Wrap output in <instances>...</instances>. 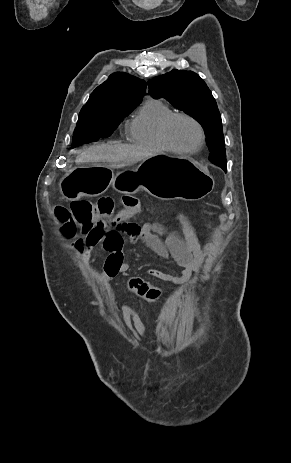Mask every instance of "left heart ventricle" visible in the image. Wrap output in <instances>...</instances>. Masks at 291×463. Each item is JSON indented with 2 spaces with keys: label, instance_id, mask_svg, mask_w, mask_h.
I'll list each match as a JSON object with an SVG mask.
<instances>
[{
  "label": "left heart ventricle",
  "instance_id": "b2bd125f",
  "mask_svg": "<svg viewBox=\"0 0 291 463\" xmlns=\"http://www.w3.org/2000/svg\"><path fill=\"white\" fill-rule=\"evenodd\" d=\"M171 140L184 149H189L197 145L199 141V132L197 127L189 120L176 119L169 131Z\"/></svg>",
  "mask_w": 291,
  "mask_h": 463
}]
</instances>
